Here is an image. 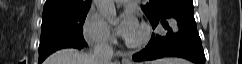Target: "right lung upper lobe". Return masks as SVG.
Listing matches in <instances>:
<instances>
[{
	"label": "right lung upper lobe",
	"instance_id": "obj_1",
	"mask_svg": "<svg viewBox=\"0 0 242 64\" xmlns=\"http://www.w3.org/2000/svg\"><path fill=\"white\" fill-rule=\"evenodd\" d=\"M91 0H46L43 14L89 10Z\"/></svg>",
	"mask_w": 242,
	"mask_h": 64
}]
</instances>
